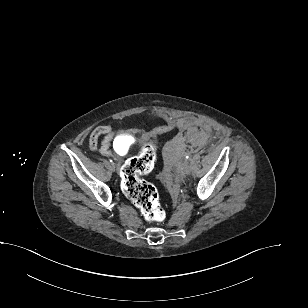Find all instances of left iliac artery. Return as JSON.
I'll return each mask as SVG.
<instances>
[{
  "label": "left iliac artery",
  "mask_w": 308,
  "mask_h": 308,
  "mask_svg": "<svg viewBox=\"0 0 308 308\" xmlns=\"http://www.w3.org/2000/svg\"><path fill=\"white\" fill-rule=\"evenodd\" d=\"M190 156H191L190 153H187V154L185 155V158H186V159H189Z\"/></svg>",
  "instance_id": "1"
}]
</instances>
